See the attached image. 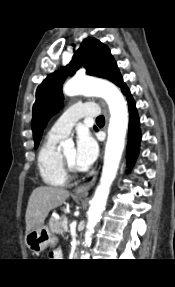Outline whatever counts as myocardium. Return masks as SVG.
Here are the masks:
<instances>
[{
	"instance_id": "myocardium-1",
	"label": "myocardium",
	"mask_w": 175,
	"mask_h": 287,
	"mask_svg": "<svg viewBox=\"0 0 175 287\" xmlns=\"http://www.w3.org/2000/svg\"><path fill=\"white\" fill-rule=\"evenodd\" d=\"M60 158H61V162H62V165L66 171V173L68 175H75L79 172V168L75 165H73L66 157L65 155L63 154V152H60Z\"/></svg>"
}]
</instances>
